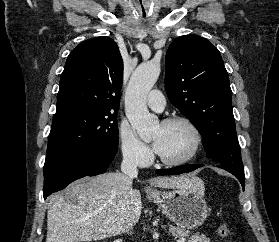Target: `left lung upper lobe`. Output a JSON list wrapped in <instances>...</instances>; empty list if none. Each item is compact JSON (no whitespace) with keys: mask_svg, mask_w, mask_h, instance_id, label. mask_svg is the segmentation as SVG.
I'll list each match as a JSON object with an SVG mask.
<instances>
[{"mask_svg":"<svg viewBox=\"0 0 279 242\" xmlns=\"http://www.w3.org/2000/svg\"><path fill=\"white\" fill-rule=\"evenodd\" d=\"M170 102L196 126L207 156L244 174L232 111V91L220 52L196 35L176 38L166 54Z\"/></svg>","mask_w":279,"mask_h":242,"instance_id":"5c2ea615","label":"left lung upper lobe"}]
</instances>
